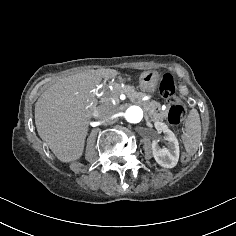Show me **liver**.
<instances>
[{
  "instance_id": "6515ba94",
  "label": "liver",
  "mask_w": 236,
  "mask_h": 236,
  "mask_svg": "<svg viewBox=\"0 0 236 236\" xmlns=\"http://www.w3.org/2000/svg\"><path fill=\"white\" fill-rule=\"evenodd\" d=\"M119 73L117 69L98 68L62 77L38 98L34 109L37 133L60 162L82 158L95 111L104 117L113 113L112 99L99 105L94 89Z\"/></svg>"
}]
</instances>
